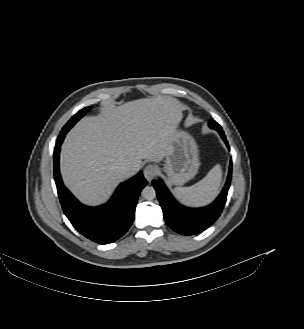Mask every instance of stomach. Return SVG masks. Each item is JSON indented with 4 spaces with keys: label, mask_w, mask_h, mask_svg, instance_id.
Masks as SVG:
<instances>
[{
    "label": "stomach",
    "mask_w": 304,
    "mask_h": 329,
    "mask_svg": "<svg viewBox=\"0 0 304 329\" xmlns=\"http://www.w3.org/2000/svg\"><path fill=\"white\" fill-rule=\"evenodd\" d=\"M199 165L198 148L194 139L185 131H177L164 165L168 181L174 185H183L197 174Z\"/></svg>",
    "instance_id": "obj_1"
}]
</instances>
